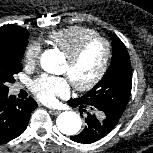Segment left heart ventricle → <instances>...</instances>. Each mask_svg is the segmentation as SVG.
<instances>
[{
    "label": "left heart ventricle",
    "mask_w": 153,
    "mask_h": 153,
    "mask_svg": "<svg viewBox=\"0 0 153 153\" xmlns=\"http://www.w3.org/2000/svg\"><path fill=\"white\" fill-rule=\"evenodd\" d=\"M104 57L105 45L102 42H95L85 50L75 63L70 64L66 59L62 73L68 77L71 83L85 84L96 75Z\"/></svg>",
    "instance_id": "obj_1"
}]
</instances>
